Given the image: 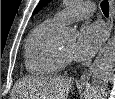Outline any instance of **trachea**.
I'll return each instance as SVG.
<instances>
[{
    "label": "trachea",
    "instance_id": "obj_1",
    "mask_svg": "<svg viewBox=\"0 0 115 99\" xmlns=\"http://www.w3.org/2000/svg\"><path fill=\"white\" fill-rule=\"evenodd\" d=\"M101 9L106 17L109 16V3L107 0L101 2Z\"/></svg>",
    "mask_w": 115,
    "mask_h": 99
}]
</instances>
